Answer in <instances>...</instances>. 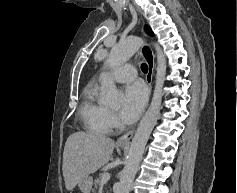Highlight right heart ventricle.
Returning a JSON list of instances; mask_svg holds the SVG:
<instances>
[{
  "label": "right heart ventricle",
  "instance_id": "right-heart-ventricle-1",
  "mask_svg": "<svg viewBox=\"0 0 237 193\" xmlns=\"http://www.w3.org/2000/svg\"><path fill=\"white\" fill-rule=\"evenodd\" d=\"M98 93V84L89 83L85 86L81 95L79 116L88 132L104 135L111 131L112 126L110 112L99 100Z\"/></svg>",
  "mask_w": 237,
  "mask_h": 193
}]
</instances>
